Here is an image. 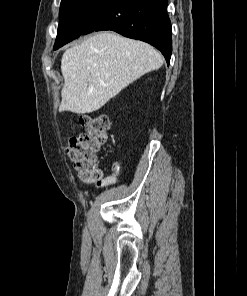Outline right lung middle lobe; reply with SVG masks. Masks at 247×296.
I'll return each instance as SVG.
<instances>
[{
    "label": "right lung middle lobe",
    "instance_id": "right-lung-middle-lobe-1",
    "mask_svg": "<svg viewBox=\"0 0 247 296\" xmlns=\"http://www.w3.org/2000/svg\"><path fill=\"white\" fill-rule=\"evenodd\" d=\"M107 0H61L59 25L54 50L78 38L89 17Z\"/></svg>",
    "mask_w": 247,
    "mask_h": 296
}]
</instances>
